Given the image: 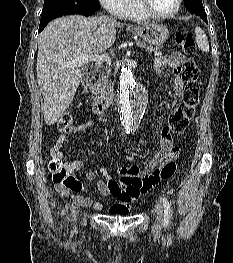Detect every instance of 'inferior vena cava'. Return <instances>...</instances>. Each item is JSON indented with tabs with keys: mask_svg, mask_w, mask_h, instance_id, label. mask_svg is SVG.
<instances>
[{
	"mask_svg": "<svg viewBox=\"0 0 233 263\" xmlns=\"http://www.w3.org/2000/svg\"><path fill=\"white\" fill-rule=\"evenodd\" d=\"M101 20L109 21V22H114L115 20L112 17H109L107 15L101 16Z\"/></svg>",
	"mask_w": 233,
	"mask_h": 263,
	"instance_id": "inferior-vena-cava-1",
	"label": "inferior vena cava"
}]
</instances>
